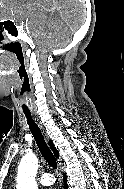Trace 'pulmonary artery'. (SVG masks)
I'll list each match as a JSON object with an SVG mask.
<instances>
[{"label": "pulmonary artery", "mask_w": 124, "mask_h": 189, "mask_svg": "<svg viewBox=\"0 0 124 189\" xmlns=\"http://www.w3.org/2000/svg\"><path fill=\"white\" fill-rule=\"evenodd\" d=\"M38 180L42 185L50 186L55 182V177L51 173H44Z\"/></svg>", "instance_id": "obj_1"}]
</instances>
